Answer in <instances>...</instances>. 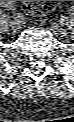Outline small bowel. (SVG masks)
Listing matches in <instances>:
<instances>
[{
  "instance_id": "obj_1",
  "label": "small bowel",
  "mask_w": 74,
  "mask_h": 122,
  "mask_svg": "<svg viewBox=\"0 0 74 122\" xmlns=\"http://www.w3.org/2000/svg\"><path fill=\"white\" fill-rule=\"evenodd\" d=\"M15 1H2V5L12 7ZM51 11V10H50Z\"/></svg>"
}]
</instances>
